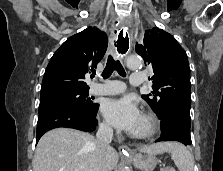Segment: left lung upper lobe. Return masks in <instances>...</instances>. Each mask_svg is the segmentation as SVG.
I'll return each mask as SVG.
<instances>
[{
  "label": "left lung upper lobe",
  "instance_id": "5c2ea615",
  "mask_svg": "<svg viewBox=\"0 0 223 171\" xmlns=\"http://www.w3.org/2000/svg\"><path fill=\"white\" fill-rule=\"evenodd\" d=\"M136 52L154 75L153 91L142 98L159 119L170 110H180L190 116L191 83L187 54L176 39L157 27L146 30L143 43Z\"/></svg>",
  "mask_w": 223,
  "mask_h": 171
}]
</instances>
